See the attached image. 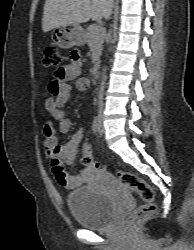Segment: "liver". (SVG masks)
<instances>
[{"label": "liver", "mask_w": 194, "mask_h": 250, "mask_svg": "<svg viewBox=\"0 0 194 250\" xmlns=\"http://www.w3.org/2000/svg\"><path fill=\"white\" fill-rule=\"evenodd\" d=\"M113 0H46L44 5L42 30L67 25H77L90 19H108L111 15Z\"/></svg>", "instance_id": "6515ba94"}]
</instances>
